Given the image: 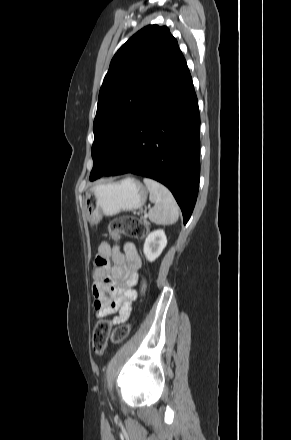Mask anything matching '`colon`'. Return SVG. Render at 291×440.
<instances>
[{"instance_id": "5ec220e1", "label": "colon", "mask_w": 291, "mask_h": 440, "mask_svg": "<svg viewBox=\"0 0 291 440\" xmlns=\"http://www.w3.org/2000/svg\"><path fill=\"white\" fill-rule=\"evenodd\" d=\"M147 226L140 219L124 215L113 219L109 226V235L115 241L120 239L122 234H126L135 239H142L147 234ZM144 288V285H143ZM130 332L129 325H120L112 332V340L120 342L127 338ZM109 339V327L107 319L103 318L96 324L92 333V348L96 354L101 355Z\"/></svg>"}]
</instances>
